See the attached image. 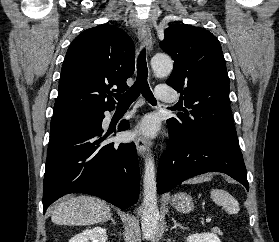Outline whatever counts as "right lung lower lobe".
<instances>
[{
    "label": "right lung lower lobe",
    "mask_w": 279,
    "mask_h": 242,
    "mask_svg": "<svg viewBox=\"0 0 279 242\" xmlns=\"http://www.w3.org/2000/svg\"><path fill=\"white\" fill-rule=\"evenodd\" d=\"M104 112L96 113L86 128L50 138L44 175L43 211L69 193L100 197L120 208L138 200L139 165L134 143L107 141L103 133ZM129 128L123 120L118 130Z\"/></svg>",
    "instance_id": "right-lung-lower-lobe-1"
}]
</instances>
